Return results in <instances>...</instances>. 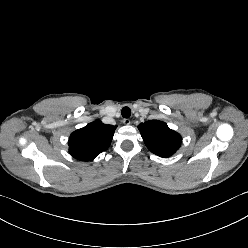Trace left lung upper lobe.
<instances>
[{"instance_id":"obj_1","label":"left lung upper lobe","mask_w":248,"mask_h":248,"mask_svg":"<svg viewBox=\"0 0 248 248\" xmlns=\"http://www.w3.org/2000/svg\"><path fill=\"white\" fill-rule=\"evenodd\" d=\"M138 129L148 149L161 157L171 156L182 143L180 134L162 121L150 120L141 123Z\"/></svg>"}]
</instances>
